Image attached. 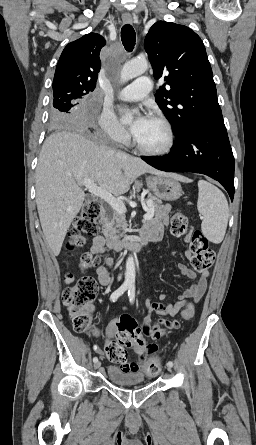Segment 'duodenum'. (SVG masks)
I'll list each match as a JSON object with an SVG mask.
<instances>
[{
    "label": "duodenum",
    "mask_w": 256,
    "mask_h": 445,
    "mask_svg": "<svg viewBox=\"0 0 256 445\" xmlns=\"http://www.w3.org/2000/svg\"><path fill=\"white\" fill-rule=\"evenodd\" d=\"M106 215V210L101 207L100 209V219H103ZM150 236L141 235L138 239H123L115 236H109L107 238L108 245L114 251H120L126 248L132 250H141L150 240Z\"/></svg>",
    "instance_id": "410a0bca"
}]
</instances>
